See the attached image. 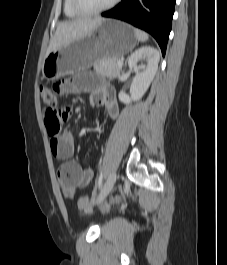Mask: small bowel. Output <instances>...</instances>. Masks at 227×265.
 <instances>
[{"label": "small bowel", "mask_w": 227, "mask_h": 265, "mask_svg": "<svg viewBox=\"0 0 227 265\" xmlns=\"http://www.w3.org/2000/svg\"><path fill=\"white\" fill-rule=\"evenodd\" d=\"M99 76V72H78L65 81H55V86H60V91L65 94L89 93L91 105L105 107L108 115L115 119L119 114L115 90ZM61 112H71V107H61ZM50 149L55 158L63 161L58 169V179L64 196L73 199L80 189L92 182L94 171L71 160L74 139L70 133L59 132L50 136Z\"/></svg>", "instance_id": "small-bowel-1"}]
</instances>
